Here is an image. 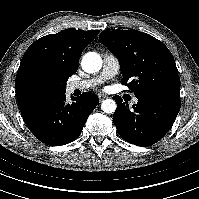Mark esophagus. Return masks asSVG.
I'll list each match as a JSON object with an SVG mask.
<instances>
[{"label":"esophagus","mask_w":199,"mask_h":199,"mask_svg":"<svg viewBox=\"0 0 199 199\" xmlns=\"http://www.w3.org/2000/svg\"><path fill=\"white\" fill-rule=\"evenodd\" d=\"M98 98H99L100 101H102V100L108 98V96L105 95V94L99 93V94H98Z\"/></svg>","instance_id":"1"}]
</instances>
